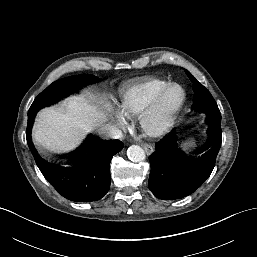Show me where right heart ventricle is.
<instances>
[{
    "mask_svg": "<svg viewBox=\"0 0 257 257\" xmlns=\"http://www.w3.org/2000/svg\"><path fill=\"white\" fill-rule=\"evenodd\" d=\"M167 81L159 77L140 79L126 88L119 96V107L128 116L141 113Z\"/></svg>",
    "mask_w": 257,
    "mask_h": 257,
    "instance_id": "right-heart-ventricle-1",
    "label": "right heart ventricle"
}]
</instances>
